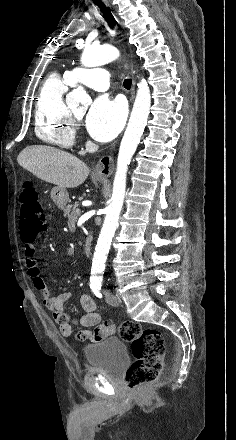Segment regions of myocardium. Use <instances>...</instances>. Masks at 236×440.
<instances>
[{
	"label": "myocardium",
	"mask_w": 236,
	"mask_h": 440,
	"mask_svg": "<svg viewBox=\"0 0 236 440\" xmlns=\"http://www.w3.org/2000/svg\"><path fill=\"white\" fill-rule=\"evenodd\" d=\"M71 117H72V121H73L74 125L78 126L80 119H78L75 115H71Z\"/></svg>",
	"instance_id": "myocardium-1"
}]
</instances>
